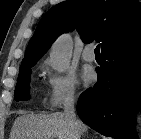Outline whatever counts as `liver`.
<instances>
[{"label": "liver", "instance_id": "1", "mask_svg": "<svg viewBox=\"0 0 141 139\" xmlns=\"http://www.w3.org/2000/svg\"><path fill=\"white\" fill-rule=\"evenodd\" d=\"M80 133L88 130V126L79 121ZM10 139H72L69 120L62 112L41 115L27 113L14 121Z\"/></svg>", "mask_w": 141, "mask_h": 139}]
</instances>
